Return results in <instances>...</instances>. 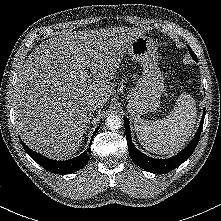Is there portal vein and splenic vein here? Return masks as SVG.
<instances>
[{
	"label": "portal vein and splenic vein",
	"instance_id": "portal-vein-and-splenic-vein-1",
	"mask_svg": "<svg viewBox=\"0 0 221 221\" xmlns=\"http://www.w3.org/2000/svg\"><path fill=\"white\" fill-rule=\"evenodd\" d=\"M80 72L82 77H89L88 71L85 68H83Z\"/></svg>",
	"mask_w": 221,
	"mask_h": 221
}]
</instances>
